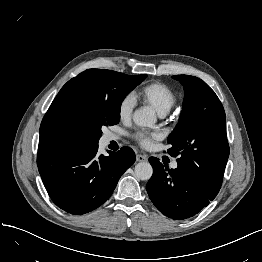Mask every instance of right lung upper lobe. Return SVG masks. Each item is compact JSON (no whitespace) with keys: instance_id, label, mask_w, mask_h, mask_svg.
I'll return each instance as SVG.
<instances>
[{"instance_id":"right-lung-upper-lobe-1","label":"right lung upper lobe","mask_w":262,"mask_h":262,"mask_svg":"<svg viewBox=\"0 0 262 262\" xmlns=\"http://www.w3.org/2000/svg\"><path fill=\"white\" fill-rule=\"evenodd\" d=\"M114 71L88 69L69 80L59 91L40 125V140H67L66 112L76 89L82 84L105 86Z\"/></svg>"}]
</instances>
